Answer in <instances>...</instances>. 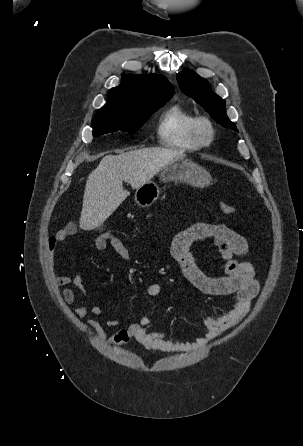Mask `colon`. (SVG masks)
<instances>
[{
    "instance_id": "5ec220e1",
    "label": "colon",
    "mask_w": 303,
    "mask_h": 446,
    "mask_svg": "<svg viewBox=\"0 0 303 446\" xmlns=\"http://www.w3.org/2000/svg\"><path fill=\"white\" fill-rule=\"evenodd\" d=\"M219 207H220L221 211H222L224 214H227V215H233V214L235 213V211H236L235 207H234L233 205L227 203V202H221V203L219 204ZM103 236H104L106 239H109V238H111V237L114 236V235L111 234L110 232H105V233H103Z\"/></svg>"
}]
</instances>
